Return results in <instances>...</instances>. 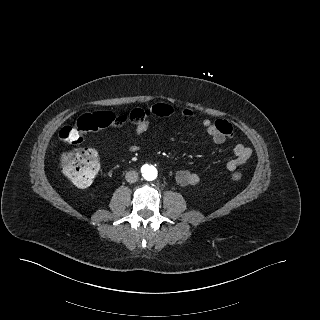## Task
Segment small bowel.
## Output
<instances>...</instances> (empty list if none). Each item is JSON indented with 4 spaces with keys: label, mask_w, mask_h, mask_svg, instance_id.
Instances as JSON below:
<instances>
[{
    "label": "small bowel",
    "mask_w": 320,
    "mask_h": 320,
    "mask_svg": "<svg viewBox=\"0 0 320 320\" xmlns=\"http://www.w3.org/2000/svg\"><path fill=\"white\" fill-rule=\"evenodd\" d=\"M176 112L177 111L173 106L166 103H157L149 108H135L122 115L124 120L118 124H114L112 129L120 128L126 123H131L135 126L136 137L139 138L150 127L153 117H171L175 115ZM180 114L185 119L195 117V113L188 108L183 109ZM200 122L215 144L221 145L233 135L232 126L227 121H211L205 118L201 119ZM138 150L139 146L137 144L129 146L130 152L135 153ZM251 154V148L242 143L236 144L234 147V156L226 164L227 169L229 171H235L246 163ZM175 179L179 185L184 187L195 186L200 181L199 175L189 170H179L175 175Z\"/></svg>",
    "instance_id": "obj_1"
}]
</instances>
